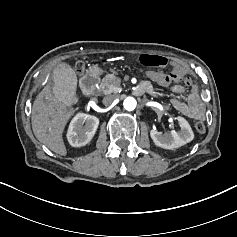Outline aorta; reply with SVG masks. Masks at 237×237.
I'll use <instances>...</instances> for the list:
<instances>
[{
    "label": "aorta",
    "instance_id": "762f6f07",
    "mask_svg": "<svg viewBox=\"0 0 237 237\" xmlns=\"http://www.w3.org/2000/svg\"><path fill=\"white\" fill-rule=\"evenodd\" d=\"M123 107L127 111H133L136 108V100L133 97H127L123 102Z\"/></svg>",
    "mask_w": 237,
    "mask_h": 237
}]
</instances>
